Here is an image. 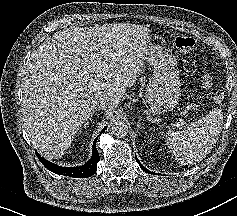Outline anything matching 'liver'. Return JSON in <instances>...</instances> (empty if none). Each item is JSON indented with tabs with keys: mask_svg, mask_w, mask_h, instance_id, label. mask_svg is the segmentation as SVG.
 <instances>
[{
	"mask_svg": "<svg viewBox=\"0 0 237 216\" xmlns=\"http://www.w3.org/2000/svg\"><path fill=\"white\" fill-rule=\"evenodd\" d=\"M22 80L25 130L36 148L65 152L83 125L93 119V103L119 104L144 67L123 63L109 25L70 26L39 46ZM112 111H106L107 117Z\"/></svg>",
	"mask_w": 237,
	"mask_h": 216,
	"instance_id": "liver-1",
	"label": "liver"
}]
</instances>
